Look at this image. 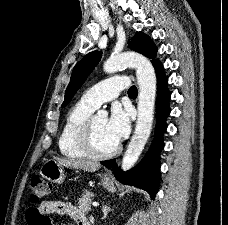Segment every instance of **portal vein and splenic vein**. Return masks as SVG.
<instances>
[{"mask_svg":"<svg viewBox=\"0 0 228 225\" xmlns=\"http://www.w3.org/2000/svg\"><path fill=\"white\" fill-rule=\"evenodd\" d=\"M98 203H93V207H97Z\"/></svg>","mask_w":228,"mask_h":225,"instance_id":"1","label":"portal vein and splenic vein"}]
</instances>
